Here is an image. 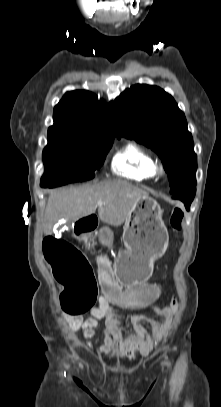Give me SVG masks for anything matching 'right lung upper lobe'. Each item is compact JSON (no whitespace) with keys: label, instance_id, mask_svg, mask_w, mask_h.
I'll list each match as a JSON object with an SVG mask.
<instances>
[{"label":"right lung upper lobe","instance_id":"obj_1","mask_svg":"<svg viewBox=\"0 0 221 407\" xmlns=\"http://www.w3.org/2000/svg\"><path fill=\"white\" fill-rule=\"evenodd\" d=\"M48 137L107 143L115 137L113 103L88 91L67 92L54 107Z\"/></svg>","mask_w":221,"mask_h":407}]
</instances>
